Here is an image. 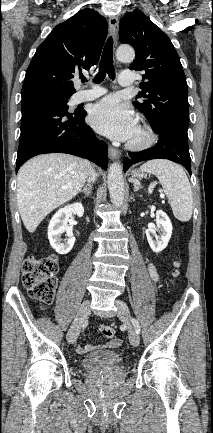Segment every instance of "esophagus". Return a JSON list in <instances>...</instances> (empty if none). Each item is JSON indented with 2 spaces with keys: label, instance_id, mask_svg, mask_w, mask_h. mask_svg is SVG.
<instances>
[{
  "label": "esophagus",
  "instance_id": "obj_1",
  "mask_svg": "<svg viewBox=\"0 0 213 433\" xmlns=\"http://www.w3.org/2000/svg\"><path fill=\"white\" fill-rule=\"evenodd\" d=\"M118 25H119V19L117 16L115 15H111L109 17V28H110V32L111 35L113 37L114 43L116 44L117 42V31H118ZM108 154L109 157L114 160V159H119L120 158V151L112 146H109L108 148Z\"/></svg>",
  "mask_w": 213,
  "mask_h": 433
}]
</instances>
